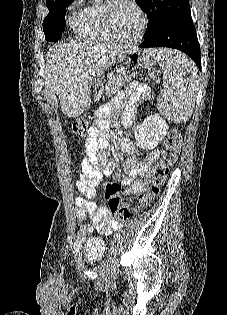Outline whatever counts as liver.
Returning <instances> with one entry per match:
<instances>
[{"label":"liver","mask_w":227,"mask_h":315,"mask_svg":"<svg viewBox=\"0 0 227 315\" xmlns=\"http://www.w3.org/2000/svg\"><path fill=\"white\" fill-rule=\"evenodd\" d=\"M123 52L117 47L100 43H56L47 52L45 91L55 102L59 96L62 112L78 117L90 108V88L117 61Z\"/></svg>","instance_id":"6515ba94"}]
</instances>
